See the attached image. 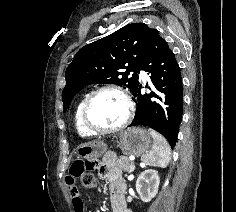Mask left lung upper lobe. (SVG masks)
<instances>
[{
    "label": "left lung upper lobe",
    "mask_w": 236,
    "mask_h": 212,
    "mask_svg": "<svg viewBox=\"0 0 236 212\" xmlns=\"http://www.w3.org/2000/svg\"><path fill=\"white\" fill-rule=\"evenodd\" d=\"M153 29L144 23L128 24L116 32L82 47L65 73L63 112L72 98L90 84H118L131 92L139 84V67ZM130 72L134 74L130 75Z\"/></svg>",
    "instance_id": "5c2ea615"
}]
</instances>
